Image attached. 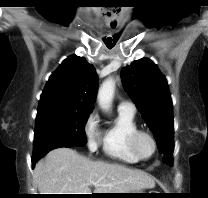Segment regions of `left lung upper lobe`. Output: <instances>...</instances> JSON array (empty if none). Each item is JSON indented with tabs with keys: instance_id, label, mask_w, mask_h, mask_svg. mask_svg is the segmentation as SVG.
<instances>
[{
	"instance_id": "obj_1",
	"label": "left lung upper lobe",
	"mask_w": 208,
	"mask_h": 198,
	"mask_svg": "<svg viewBox=\"0 0 208 198\" xmlns=\"http://www.w3.org/2000/svg\"><path fill=\"white\" fill-rule=\"evenodd\" d=\"M121 78L125 90L151 129L158 151L165 157L164 162L172 165L173 105L167 80L158 67L147 58L123 67Z\"/></svg>"
}]
</instances>
